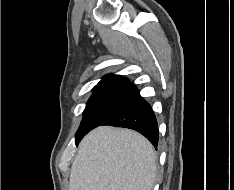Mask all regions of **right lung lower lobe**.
<instances>
[{
  "instance_id": "right-lung-lower-lobe-1",
  "label": "right lung lower lobe",
  "mask_w": 234,
  "mask_h": 190,
  "mask_svg": "<svg viewBox=\"0 0 234 190\" xmlns=\"http://www.w3.org/2000/svg\"><path fill=\"white\" fill-rule=\"evenodd\" d=\"M100 125L133 129L144 135L155 148L158 146L159 132L154 112L129 80L117 103ZM84 136L76 138V145Z\"/></svg>"
}]
</instances>
